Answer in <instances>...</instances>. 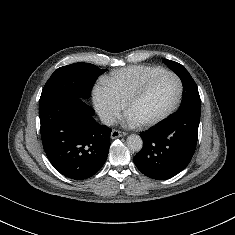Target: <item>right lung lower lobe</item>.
<instances>
[{"mask_svg":"<svg viewBox=\"0 0 235 235\" xmlns=\"http://www.w3.org/2000/svg\"><path fill=\"white\" fill-rule=\"evenodd\" d=\"M94 110L76 96H59L39 105L43 148L62 175L82 180L105 163L111 129L99 125Z\"/></svg>","mask_w":235,"mask_h":235,"instance_id":"obj_1","label":"right lung lower lobe"}]
</instances>
